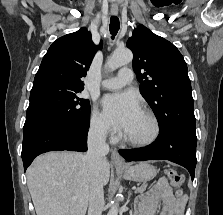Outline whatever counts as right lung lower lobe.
I'll return each instance as SVG.
<instances>
[{"label":"right lung lower lobe","instance_id":"1","mask_svg":"<svg viewBox=\"0 0 223 215\" xmlns=\"http://www.w3.org/2000/svg\"><path fill=\"white\" fill-rule=\"evenodd\" d=\"M87 134L88 129L65 125H46L23 131L24 171L36 156L48 151H86Z\"/></svg>","mask_w":223,"mask_h":215}]
</instances>
